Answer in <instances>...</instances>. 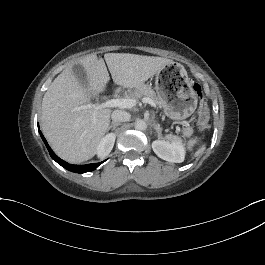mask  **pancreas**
<instances>
[{
	"instance_id": "1",
	"label": "pancreas",
	"mask_w": 265,
	"mask_h": 265,
	"mask_svg": "<svg viewBox=\"0 0 265 265\" xmlns=\"http://www.w3.org/2000/svg\"><path fill=\"white\" fill-rule=\"evenodd\" d=\"M143 96L151 98L157 105H163V100L157 97L155 91L148 84H141L135 87L133 91L129 93V98L140 99ZM191 130V129H189Z\"/></svg>"
}]
</instances>
